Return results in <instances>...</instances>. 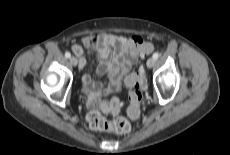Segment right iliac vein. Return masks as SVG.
Returning <instances> with one entry per match:
<instances>
[{"label":"right iliac vein","mask_w":230,"mask_h":155,"mask_svg":"<svg viewBox=\"0 0 230 155\" xmlns=\"http://www.w3.org/2000/svg\"><path fill=\"white\" fill-rule=\"evenodd\" d=\"M69 61L73 66H76L78 64V60L75 57H70Z\"/></svg>","instance_id":"obj_1"}]
</instances>
